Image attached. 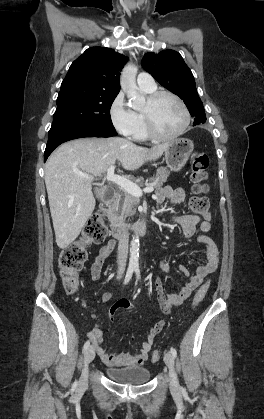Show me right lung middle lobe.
Here are the masks:
<instances>
[{
	"label": "right lung middle lobe",
	"mask_w": 264,
	"mask_h": 419,
	"mask_svg": "<svg viewBox=\"0 0 264 419\" xmlns=\"http://www.w3.org/2000/svg\"><path fill=\"white\" fill-rule=\"evenodd\" d=\"M116 96L81 85L61 87L48 142L78 128L115 130L110 108Z\"/></svg>",
	"instance_id": "obj_1"
}]
</instances>
